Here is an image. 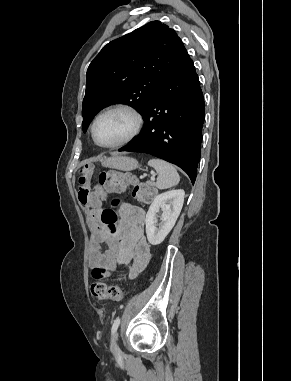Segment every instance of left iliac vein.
I'll list each match as a JSON object with an SVG mask.
<instances>
[{
  "label": "left iliac vein",
  "mask_w": 291,
  "mask_h": 381,
  "mask_svg": "<svg viewBox=\"0 0 291 381\" xmlns=\"http://www.w3.org/2000/svg\"><path fill=\"white\" fill-rule=\"evenodd\" d=\"M117 339H118V334L116 333L113 337V347L114 349H117L118 346H117Z\"/></svg>",
  "instance_id": "obj_1"
}]
</instances>
